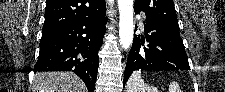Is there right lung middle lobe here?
<instances>
[{
    "instance_id": "1",
    "label": "right lung middle lobe",
    "mask_w": 225,
    "mask_h": 92,
    "mask_svg": "<svg viewBox=\"0 0 225 92\" xmlns=\"http://www.w3.org/2000/svg\"><path fill=\"white\" fill-rule=\"evenodd\" d=\"M51 33H54V32H51ZM47 34H50V33H47V32L42 31V36L43 35H47Z\"/></svg>"
}]
</instances>
